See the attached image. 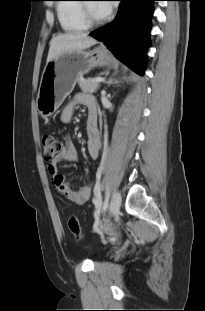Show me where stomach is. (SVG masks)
<instances>
[{
	"mask_svg": "<svg viewBox=\"0 0 205 311\" xmlns=\"http://www.w3.org/2000/svg\"><path fill=\"white\" fill-rule=\"evenodd\" d=\"M113 64V58L101 48L64 53L47 62L36 99L39 113L43 117L53 115L72 92L78 78L95 67Z\"/></svg>",
	"mask_w": 205,
	"mask_h": 311,
	"instance_id": "obj_1",
	"label": "stomach"
}]
</instances>
